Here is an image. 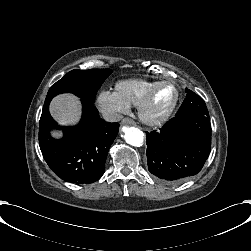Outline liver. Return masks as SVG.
<instances>
[{
	"label": "liver",
	"instance_id": "1",
	"mask_svg": "<svg viewBox=\"0 0 251 251\" xmlns=\"http://www.w3.org/2000/svg\"><path fill=\"white\" fill-rule=\"evenodd\" d=\"M50 113L61 125H72L79 121L81 115V104L79 99L72 94H61L56 96L50 104ZM55 138L62 137V132L52 131Z\"/></svg>",
	"mask_w": 251,
	"mask_h": 251
}]
</instances>
